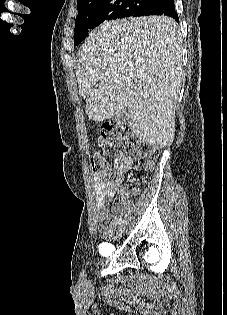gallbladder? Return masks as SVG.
I'll return each mask as SVG.
<instances>
[{
  "mask_svg": "<svg viewBox=\"0 0 227 315\" xmlns=\"http://www.w3.org/2000/svg\"><path fill=\"white\" fill-rule=\"evenodd\" d=\"M117 121L120 123H125L127 121V117L125 112H121L119 116L116 117Z\"/></svg>",
  "mask_w": 227,
  "mask_h": 315,
  "instance_id": "gallbladder-1",
  "label": "gallbladder"
}]
</instances>
